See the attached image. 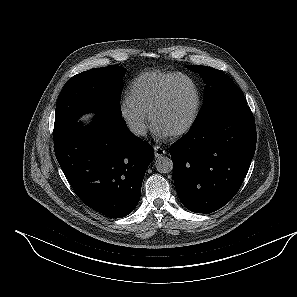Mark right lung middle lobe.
I'll list each match as a JSON object with an SVG mask.
<instances>
[{"instance_id":"1","label":"right lung middle lobe","mask_w":297,"mask_h":297,"mask_svg":"<svg viewBox=\"0 0 297 297\" xmlns=\"http://www.w3.org/2000/svg\"><path fill=\"white\" fill-rule=\"evenodd\" d=\"M125 71L124 67L110 65L84 71L66 82L56 104L54 144L64 139L84 113L122 116L120 94Z\"/></svg>"}]
</instances>
